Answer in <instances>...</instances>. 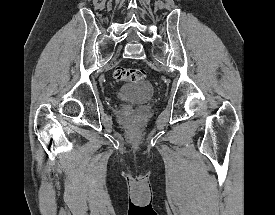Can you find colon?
Wrapping results in <instances>:
<instances>
[{
    "label": "colon",
    "instance_id": "obj_1",
    "mask_svg": "<svg viewBox=\"0 0 275 215\" xmlns=\"http://www.w3.org/2000/svg\"><path fill=\"white\" fill-rule=\"evenodd\" d=\"M113 76L118 82H136L145 78L146 73L143 69H133L118 66L114 69Z\"/></svg>",
    "mask_w": 275,
    "mask_h": 215
}]
</instances>
